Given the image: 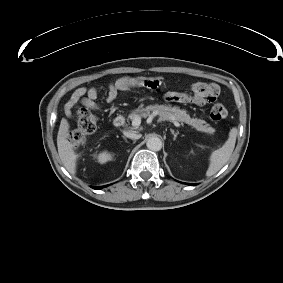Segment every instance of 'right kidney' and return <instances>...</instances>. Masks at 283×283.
<instances>
[{"mask_svg": "<svg viewBox=\"0 0 283 283\" xmlns=\"http://www.w3.org/2000/svg\"><path fill=\"white\" fill-rule=\"evenodd\" d=\"M112 155L110 153L107 152H102L98 155V161L103 164L109 160H111Z\"/></svg>", "mask_w": 283, "mask_h": 283, "instance_id": "ca27d5eb", "label": "right kidney"}]
</instances>
